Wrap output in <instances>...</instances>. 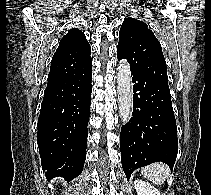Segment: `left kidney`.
Returning a JSON list of instances; mask_svg holds the SVG:
<instances>
[{
    "instance_id": "1",
    "label": "left kidney",
    "mask_w": 211,
    "mask_h": 195,
    "mask_svg": "<svg viewBox=\"0 0 211 195\" xmlns=\"http://www.w3.org/2000/svg\"><path fill=\"white\" fill-rule=\"evenodd\" d=\"M134 187L138 195H161L154 186L143 180H135Z\"/></svg>"
}]
</instances>
